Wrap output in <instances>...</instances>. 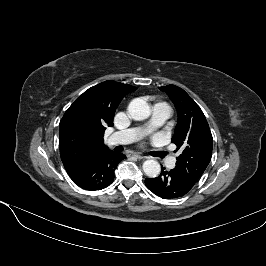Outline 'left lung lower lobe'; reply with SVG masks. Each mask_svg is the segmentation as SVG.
<instances>
[{"label": "left lung lower lobe", "instance_id": "0a47b994", "mask_svg": "<svg viewBox=\"0 0 266 266\" xmlns=\"http://www.w3.org/2000/svg\"><path fill=\"white\" fill-rule=\"evenodd\" d=\"M162 167L161 174L156 178H146V187L154 194L164 198L172 199L187 194L193 186L184 180L173 169L165 171Z\"/></svg>", "mask_w": 266, "mask_h": 266}]
</instances>
